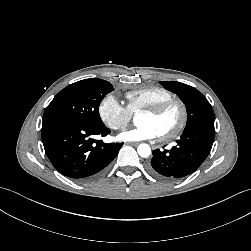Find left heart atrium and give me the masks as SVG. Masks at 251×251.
Returning a JSON list of instances; mask_svg holds the SVG:
<instances>
[{
  "mask_svg": "<svg viewBox=\"0 0 251 251\" xmlns=\"http://www.w3.org/2000/svg\"><path fill=\"white\" fill-rule=\"evenodd\" d=\"M158 136V131L152 125L140 124L135 128L120 133L118 138L123 141H142L154 139Z\"/></svg>",
  "mask_w": 251,
  "mask_h": 251,
  "instance_id": "1",
  "label": "left heart atrium"
}]
</instances>
